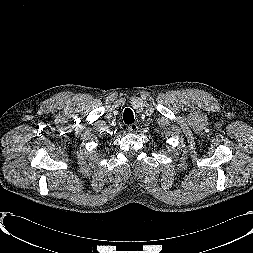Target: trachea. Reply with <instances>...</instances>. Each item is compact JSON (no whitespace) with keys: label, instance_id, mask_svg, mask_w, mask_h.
I'll return each instance as SVG.
<instances>
[{"label":"trachea","instance_id":"3493384b","mask_svg":"<svg viewBox=\"0 0 253 253\" xmlns=\"http://www.w3.org/2000/svg\"><path fill=\"white\" fill-rule=\"evenodd\" d=\"M123 119L126 124H132L134 122V115L131 109H125Z\"/></svg>","mask_w":253,"mask_h":253}]
</instances>
